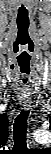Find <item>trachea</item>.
I'll return each mask as SVG.
<instances>
[{
  "label": "trachea",
  "mask_w": 51,
  "mask_h": 154,
  "mask_svg": "<svg viewBox=\"0 0 51 154\" xmlns=\"http://www.w3.org/2000/svg\"><path fill=\"white\" fill-rule=\"evenodd\" d=\"M28 115L29 111L22 110L16 117L13 126L14 140L22 142L26 139Z\"/></svg>",
  "instance_id": "1"
}]
</instances>
